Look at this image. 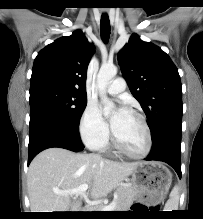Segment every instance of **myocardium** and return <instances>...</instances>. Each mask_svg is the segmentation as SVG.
<instances>
[{
	"label": "myocardium",
	"instance_id": "myocardium-1",
	"mask_svg": "<svg viewBox=\"0 0 203 219\" xmlns=\"http://www.w3.org/2000/svg\"><path fill=\"white\" fill-rule=\"evenodd\" d=\"M131 114H133L134 116H136L142 123L144 130H145V134H146V143H145V148L142 152L140 153H134L129 151L128 149H126L121 142L119 141V139L117 138L113 128L111 130V135H112V142L113 145L115 146V148L122 153L123 155L132 158V159H144L146 158L152 149V133H151V129L149 127V124L145 118V116L143 114H141L140 112L136 111V110H130L129 111Z\"/></svg>",
	"mask_w": 203,
	"mask_h": 219
}]
</instances>
